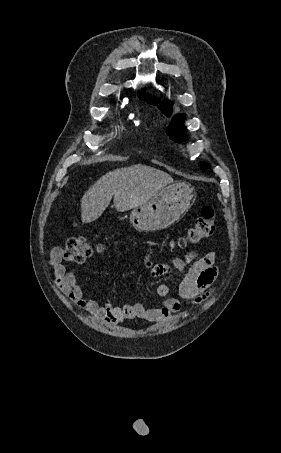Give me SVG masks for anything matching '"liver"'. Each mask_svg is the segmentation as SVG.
Segmentation results:
<instances>
[{
  "label": "liver",
  "instance_id": "6515ba94",
  "mask_svg": "<svg viewBox=\"0 0 281 453\" xmlns=\"http://www.w3.org/2000/svg\"><path fill=\"white\" fill-rule=\"evenodd\" d=\"M169 182H173V178L168 172L146 164L110 170L84 192L81 198V220L92 222L99 218L112 196L119 212L145 204Z\"/></svg>",
  "mask_w": 281,
  "mask_h": 453
}]
</instances>
